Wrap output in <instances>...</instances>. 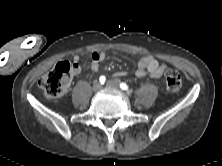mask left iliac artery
I'll list each match as a JSON object with an SVG mask.
<instances>
[{
  "instance_id": "obj_1",
  "label": "left iliac artery",
  "mask_w": 222,
  "mask_h": 166,
  "mask_svg": "<svg viewBox=\"0 0 222 166\" xmlns=\"http://www.w3.org/2000/svg\"><path fill=\"white\" fill-rule=\"evenodd\" d=\"M120 88L122 90H128V85L126 83H120Z\"/></svg>"
}]
</instances>
